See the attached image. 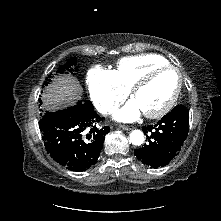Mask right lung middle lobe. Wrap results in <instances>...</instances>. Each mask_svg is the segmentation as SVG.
<instances>
[{
  "mask_svg": "<svg viewBox=\"0 0 221 221\" xmlns=\"http://www.w3.org/2000/svg\"><path fill=\"white\" fill-rule=\"evenodd\" d=\"M76 63H77L76 57H72L71 59L67 60V62L64 65L59 67L57 73H63L65 70L70 71L72 73V71H73L72 66L76 65ZM74 70L77 71L78 70L77 67H75ZM74 74H76V73H74ZM50 77L51 76H48L46 81L43 83L45 86H47V84L51 81L49 79ZM85 103L88 105H92L90 101H86Z\"/></svg>",
  "mask_w": 221,
  "mask_h": 221,
  "instance_id": "1",
  "label": "right lung middle lobe"
}]
</instances>
